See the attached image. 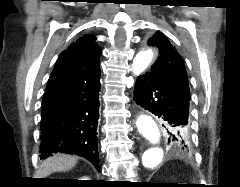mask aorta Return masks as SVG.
<instances>
[{"mask_svg": "<svg viewBox=\"0 0 240 187\" xmlns=\"http://www.w3.org/2000/svg\"><path fill=\"white\" fill-rule=\"evenodd\" d=\"M153 58L151 50L139 52L133 60V73L139 75L150 64ZM138 132L148 141L149 145L142 154V163L145 168L156 167L163 159L161 134L154 119L149 115H141L136 122Z\"/></svg>", "mask_w": 240, "mask_h": 187, "instance_id": "1", "label": "aorta"}]
</instances>
